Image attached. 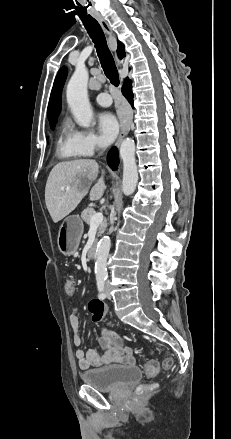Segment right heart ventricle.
I'll list each match as a JSON object with an SVG mask.
<instances>
[{"instance_id": "e07e8e85", "label": "right heart ventricle", "mask_w": 231, "mask_h": 439, "mask_svg": "<svg viewBox=\"0 0 231 439\" xmlns=\"http://www.w3.org/2000/svg\"><path fill=\"white\" fill-rule=\"evenodd\" d=\"M56 151L58 156L63 159H75L81 156L75 146L74 131L67 123L63 125L60 131Z\"/></svg>"}]
</instances>
